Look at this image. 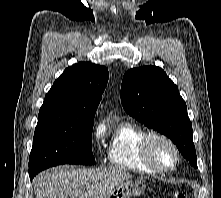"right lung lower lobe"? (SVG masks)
Segmentation results:
<instances>
[{
	"instance_id": "obj_1",
	"label": "right lung lower lobe",
	"mask_w": 221,
	"mask_h": 198,
	"mask_svg": "<svg viewBox=\"0 0 221 198\" xmlns=\"http://www.w3.org/2000/svg\"><path fill=\"white\" fill-rule=\"evenodd\" d=\"M34 176H31L30 179L32 180Z\"/></svg>"
}]
</instances>
